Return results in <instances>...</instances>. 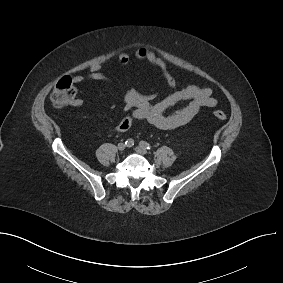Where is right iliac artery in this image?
Listing matches in <instances>:
<instances>
[{
  "mask_svg": "<svg viewBox=\"0 0 283 283\" xmlns=\"http://www.w3.org/2000/svg\"><path fill=\"white\" fill-rule=\"evenodd\" d=\"M125 144H126V146L127 147H131V146H133L134 145V140L133 139H127L126 141H125Z\"/></svg>",
  "mask_w": 283,
  "mask_h": 283,
  "instance_id": "82829eb1",
  "label": "right iliac artery"
}]
</instances>
